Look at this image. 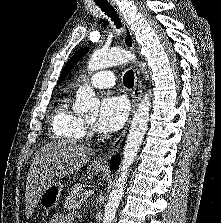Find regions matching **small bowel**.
Wrapping results in <instances>:
<instances>
[{
  "mask_svg": "<svg viewBox=\"0 0 221 223\" xmlns=\"http://www.w3.org/2000/svg\"><path fill=\"white\" fill-rule=\"evenodd\" d=\"M71 221H72L71 215L58 214L51 220L50 223H71Z\"/></svg>",
  "mask_w": 221,
  "mask_h": 223,
  "instance_id": "small-bowel-1",
  "label": "small bowel"
}]
</instances>
